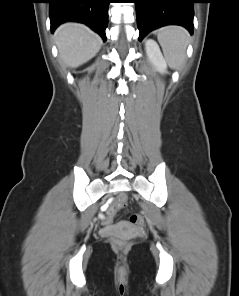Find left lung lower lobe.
I'll return each instance as SVG.
<instances>
[{"mask_svg":"<svg viewBox=\"0 0 239 296\" xmlns=\"http://www.w3.org/2000/svg\"><path fill=\"white\" fill-rule=\"evenodd\" d=\"M139 41L150 31L165 25H180L193 34V3L196 0H134Z\"/></svg>","mask_w":239,"mask_h":296,"instance_id":"0a47b994","label":"left lung lower lobe"}]
</instances>
